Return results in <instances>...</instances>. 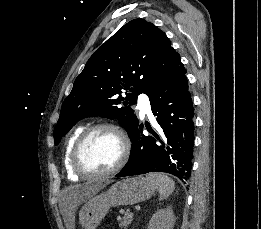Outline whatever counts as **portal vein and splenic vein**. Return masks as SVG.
I'll return each mask as SVG.
<instances>
[{
    "label": "portal vein and splenic vein",
    "mask_w": 261,
    "mask_h": 229,
    "mask_svg": "<svg viewBox=\"0 0 261 229\" xmlns=\"http://www.w3.org/2000/svg\"><path fill=\"white\" fill-rule=\"evenodd\" d=\"M128 217H133L132 213H130V215H128Z\"/></svg>",
    "instance_id": "obj_1"
}]
</instances>
